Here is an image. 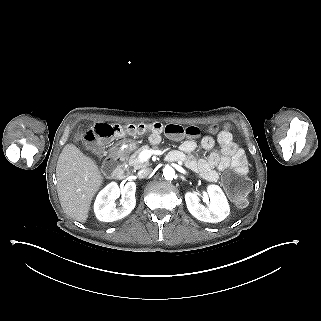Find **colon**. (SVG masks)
Listing matches in <instances>:
<instances>
[{"mask_svg":"<svg viewBox=\"0 0 321 321\" xmlns=\"http://www.w3.org/2000/svg\"><path fill=\"white\" fill-rule=\"evenodd\" d=\"M218 126L212 125L210 130L217 131ZM147 131L154 134L165 133L171 137H197L200 130L196 126L182 127L178 124H129L120 125L117 123H97L92 129L86 132L84 140L86 145L93 149L99 150L103 143L114 137L123 135H141ZM222 185L228 195L238 204L244 205L247 202V195L250 189V180L245 172L234 170L224 175Z\"/></svg>","mask_w":321,"mask_h":321,"instance_id":"5ec220e1","label":"colon"}]
</instances>
